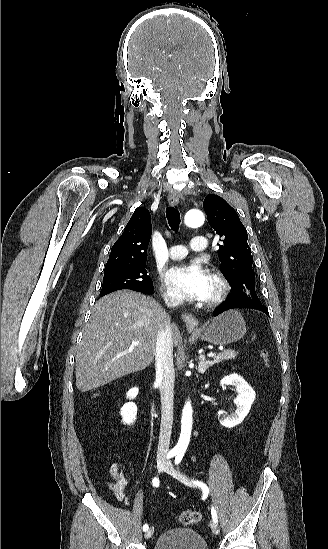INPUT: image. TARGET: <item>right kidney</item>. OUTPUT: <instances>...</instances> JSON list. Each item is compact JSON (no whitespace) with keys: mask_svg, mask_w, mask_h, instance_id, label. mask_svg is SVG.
Returning <instances> with one entry per match:
<instances>
[{"mask_svg":"<svg viewBox=\"0 0 328 549\" xmlns=\"http://www.w3.org/2000/svg\"><path fill=\"white\" fill-rule=\"evenodd\" d=\"M138 395V389L137 387H133V389H129L127 393V399H135ZM123 417V423H127V425H131V423H134L137 415V407L135 403H125L121 409V413Z\"/></svg>","mask_w":328,"mask_h":549,"instance_id":"right-kidney-1","label":"right kidney"}]
</instances>
